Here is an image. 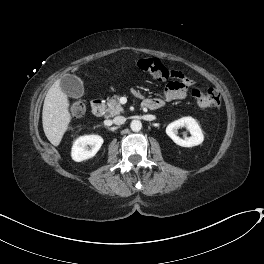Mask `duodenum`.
<instances>
[{"label":"duodenum","instance_id":"duodenum-1","mask_svg":"<svg viewBox=\"0 0 264 264\" xmlns=\"http://www.w3.org/2000/svg\"><path fill=\"white\" fill-rule=\"evenodd\" d=\"M106 111V105L103 99L98 98L95 99L92 103V114L97 117L101 118Z\"/></svg>","mask_w":264,"mask_h":264}]
</instances>
